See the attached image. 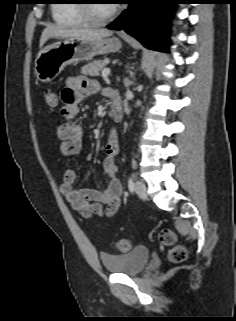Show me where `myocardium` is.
I'll list each match as a JSON object with an SVG mask.
<instances>
[{"label": "myocardium", "mask_w": 236, "mask_h": 321, "mask_svg": "<svg viewBox=\"0 0 236 321\" xmlns=\"http://www.w3.org/2000/svg\"><path fill=\"white\" fill-rule=\"evenodd\" d=\"M80 10L86 21L92 26L104 25L112 21L119 13V8L114 5L112 10L104 17H97L93 13L92 4L94 0H80Z\"/></svg>", "instance_id": "f54148a6"}]
</instances>
